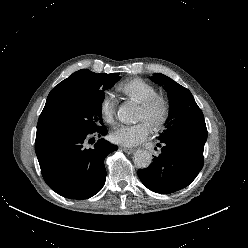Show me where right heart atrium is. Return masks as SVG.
Here are the masks:
<instances>
[{"label": "right heart atrium", "mask_w": 248, "mask_h": 248, "mask_svg": "<svg viewBox=\"0 0 248 248\" xmlns=\"http://www.w3.org/2000/svg\"><path fill=\"white\" fill-rule=\"evenodd\" d=\"M115 109H116V104L113 96L109 93H106L102 97L99 105L100 115L106 123L108 124L114 123Z\"/></svg>", "instance_id": "right-heart-atrium-1"}]
</instances>
